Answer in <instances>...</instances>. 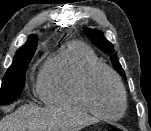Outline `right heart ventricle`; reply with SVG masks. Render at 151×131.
<instances>
[{
	"label": "right heart ventricle",
	"mask_w": 151,
	"mask_h": 131,
	"mask_svg": "<svg viewBox=\"0 0 151 131\" xmlns=\"http://www.w3.org/2000/svg\"><path fill=\"white\" fill-rule=\"evenodd\" d=\"M99 63L95 52L85 43L71 41L45 63L39 78L41 99L54 106L89 111L80 94V83L87 69Z\"/></svg>",
	"instance_id": "obj_1"
}]
</instances>
